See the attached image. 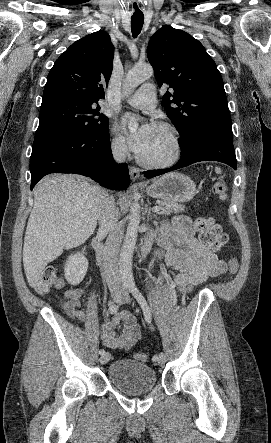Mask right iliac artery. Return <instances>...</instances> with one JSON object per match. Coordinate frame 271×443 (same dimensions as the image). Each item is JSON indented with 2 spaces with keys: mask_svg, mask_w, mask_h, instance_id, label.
Instances as JSON below:
<instances>
[{
  "mask_svg": "<svg viewBox=\"0 0 271 443\" xmlns=\"http://www.w3.org/2000/svg\"><path fill=\"white\" fill-rule=\"evenodd\" d=\"M118 309H119V305L113 304V305H111V306L109 307V312H110L111 314H115V313L118 311ZM104 353H105V350H104V349H100V350H99V354H100V355H103Z\"/></svg>",
  "mask_w": 271,
  "mask_h": 443,
  "instance_id": "82829eb1",
  "label": "right iliac artery"
}]
</instances>
